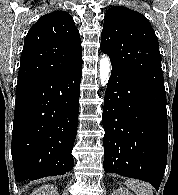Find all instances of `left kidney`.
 <instances>
[{"mask_svg":"<svg viewBox=\"0 0 178 195\" xmlns=\"http://www.w3.org/2000/svg\"><path fill=\"white\" fill-rule=\"evenodd\" d=\"M112 195H133L129 190L126 188H117L113 191Z\"/></svg>","mask_w":178,"mask_h":195,"instance_id":"obj_1","label":"left kidney"}]
</instances>
